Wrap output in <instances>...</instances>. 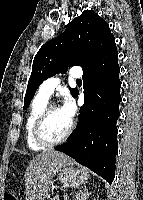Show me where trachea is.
I'll use <instances>...</instances> for the list:
<instances>
[{"mask_svg":"<svg viewBox=\"0 0 143 200\" xmlns=\"http://www.w3.org/2000/svg\"><path fill=\"white\" fill-rule=\"evenodd\" d=\"M76 82H77V83H81L82 81H81L80 79H77Z\"/></svg>","mask_w":143,"mask_h":200,"instance_id":"1","label":"trachea"}]
</instances>
